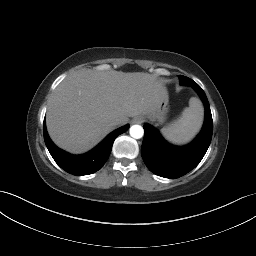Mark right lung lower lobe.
I'll return each mask as SVG.
<instances>
[{"instance_id": "right-lung-lower-lobe-1", "label": "right lung lower lobe", "mask_w": 256, "mask_h": 256, "mask_svg": "<svg viewBox=\"0 0 256 256\" xmlns=\"http://www.w3.org/2000/svg\"><path fill=\"white\" fill-rule=\"evenodd\" d=\"M128 128L129 125L118 128L94 149L83 155H71L55 146L48 136L45 122L43 124V133L45 144L55 162L66 172L79 176L89 175L98 171L107 161L116 137L126 132Z\"/></svg>"}]
</instances>
